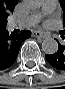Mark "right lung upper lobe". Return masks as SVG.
<instances>
[{
	"label": "right lung upper lobe",
	"mask_w": 65,
	"mask_h": 89,
	"mask_svg": "<svg viewBox=\"0 0 65 89\" xmlns=\"http://www.w3.org/2000/svg\"><path fill=\"white\" fill-rule=\"evenodd\" d=\"M18 0H0V21L7 20L9 13L13 12Z\"/></svg>",
	"instance_id": "1"
}]
</instances>
